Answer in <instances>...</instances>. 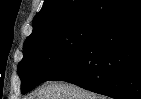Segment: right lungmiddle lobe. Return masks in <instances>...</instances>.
Listing matches in <instances>:
<instances>
[{"label":"right lung middle lobe","instance_id":"right-lung-middle-lobe-1","mask_svg":"<svg viewBox=\"0 0 141 99\" xmlns=\"http://www.w3.org/2000/svg\"><path fill=\"white\" fill-rule=\"evenodd\" d=\"M100 21L78 22L25 41L18 64L21 92L25 94L67 65L95 34Z\"/></svg>","mask_w":141,"mask_h":99}]
</instances>
